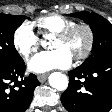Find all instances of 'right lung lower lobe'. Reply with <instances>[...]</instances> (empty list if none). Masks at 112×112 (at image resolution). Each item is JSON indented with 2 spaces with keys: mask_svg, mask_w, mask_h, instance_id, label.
Returning <instances> with one entry per match:
<instances>
[{
  "mask_svg": "<svg viewBox=\"0 0 112 112\" xmlns=\"http://www.w3.org/2000/svg\"><path fill=\"white\" fill-rule=\"evenodd\" d=\"M24 72L22 58L0 68V112H25L29 107L40 82L34 74L23 78Z\"/></svg>",
  "mask_w": 112,
  "mask_h": 112,
  "instance_id": "obj_1",
  "label": "right lung lower lobe"
}]
</instances>
